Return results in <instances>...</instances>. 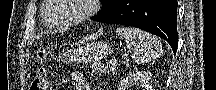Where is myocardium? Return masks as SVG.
<instances>
[{"instance_id":"1","label":"myocardium","mask_w":216,"mask_h":90,"mask_svg":"<svg viewBox=\"0 0 216 90\" xmlns=\"http://www.w3.org/2000/svg\"><path fill=\"white\" fill-rule=\"evenodd\" d=\"M48 2H53L54 5L53 8H51V11H47L45 17H42V21L44 25L50 30L66 31L74 27H77L78 25L84 23L86 20L91 18L96 10V6L94 3H100V0H81V1H67V2H64L63 0H48ZM63 3L81 4L83 6V11L72 23L64 24V25H56L50 23L49 18H52V15H56L57 12H60Z\"/></svg>"}]
</instances>
